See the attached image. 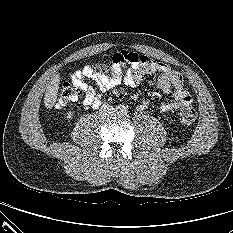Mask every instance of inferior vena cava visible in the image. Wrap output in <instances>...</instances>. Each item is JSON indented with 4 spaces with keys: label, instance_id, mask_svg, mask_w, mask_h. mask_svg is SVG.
<instances>
[{
    "label": "inferior vena cava",
    "instance_id": "inferior-vena-cava-1",
    "mask_svg": "<svg viewBox=\"0 0 233 233\" xmlns=\"http://www.w3.org/2000/svg\"><path fill=\"white\" fill-rule=\"evenodd\" d=\"M108 111H109V114H108V116H105V117H109V116L113 115V108L112 107H108ZM103 112H104V109L101 110V113H103Z\"/></svg>",
    "mask_w": 233,
    "mask_h": 233
}]
</instances>
